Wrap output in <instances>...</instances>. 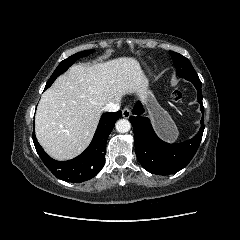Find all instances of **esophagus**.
Returning a JSON list of instances; mask_svg holds the SVG:
<instances>
[{
	"mask_svg": "<svg viewBox=\"0 0 240 240\" xmlns=\"http://www.w3.org/2000/svg\"><path fill=\"white\" fill-rule=\"evenodd\" d=\"M122 116L126 119L129 118L131 116V109L129 107H125L122 110Z\"/></svg>",
	"mask_w": 240,
	"mask_h": 240,
	"instance_id": "34e87169",
	"label": "esophagus"
}]
</instances>
